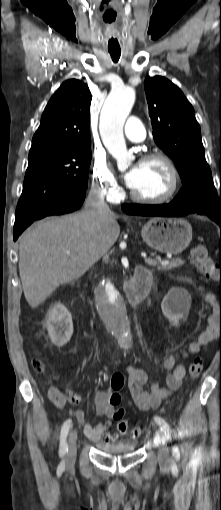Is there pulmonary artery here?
Here are the masks:
<instances>
[{
	"label": "pulmonary artery",
	"mask_w": 221,
	"mask_h": 510,
	"mask_svg": "<svg viewBox=\"0 0 221 510\" xmlns=\"http://www.w3.org/2000/svg\"><path fill=\"white\" fill-rule=\"evenodd\" d=\"M124 134L133 142H141L145 139L146 130L140 119L131 116L126 121Z\"/></svg>",
	"instance_id": "obj_1"
}]
</instances>
